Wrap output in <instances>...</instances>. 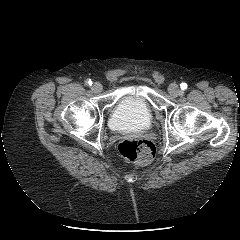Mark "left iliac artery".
Wrapping results in <instances>:
<instances>
[{
	"mask_svg": "<svg viewBox=\"0 0 240 240\" xmlns=\"http://www.w3.org/2000/svg\"><path fill=\"white\" fill-rule=\"evenodd\" d=\"M180 88H181L182 90H185V89L187 88V84H186V83H182V84L180 85Z\"/></svg>",
	"mask_w": 240,
	"mask_h": 240,
	"instance_id": "left-iliac-artery-1",
	"label": "left iliac artery"
}]
</instances>
